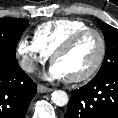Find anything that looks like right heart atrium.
<instances>
[{
    "instance_id": "1",
    "label": "right heart atrium",
    "mask_w": 118,
    "mask_h": 118,
    "mask_svg": "<svg viewBox=\"0 0 118 118\" xmlns=\"http://www.w3.org/2000/svg\"><path fill=\"white\" fill-rule=\"evenodd\" d=\"M16 56L21 67L27 72H34L38 65L44 64L49 55L41 48L35 38L22 36L16 47Z\"/></svg>"
}]
</instances>
